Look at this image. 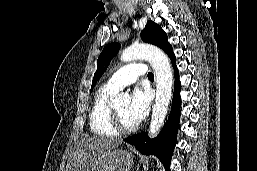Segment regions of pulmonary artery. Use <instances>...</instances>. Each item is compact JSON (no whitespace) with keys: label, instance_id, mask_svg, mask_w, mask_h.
I'll list each match as a JSON object with an SVG mask.
<instances>
[{"label":"pulmonary artery","instance_id":"pulmonary-artery-1","mask_svg":"<svg viewBox=\"0 0 257 171\" xmlns=\"http://www.w3.org/2000/svg\"><path fill=\"white\" fill-rule=\"evenodd\" d=\"M147 74V68L143 63L133 62L118 69L107 81V85L115 90H120L127 85L136 82L141 76Z\"/></svg>","mask_w":257,"mask_h":171}]
</instances>
